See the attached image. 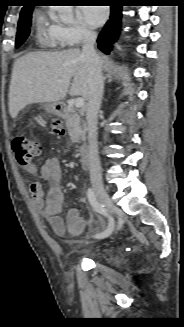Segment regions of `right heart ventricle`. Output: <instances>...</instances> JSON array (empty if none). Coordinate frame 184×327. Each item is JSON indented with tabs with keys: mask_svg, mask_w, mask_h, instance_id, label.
I'll use <instances>...</instances> for the list:
<instances>
[{
	"mask_svg": "<svg viewBox=\"0 0 184 327\" xmlns=\"http://www.w3.org/2000/svg\"><path fill=\"white\" fill-rule=\"evenodd\" d=\"M61 26L49 19L45 14H39L36 18V36L40 44L55 48L62 44L60 41Z\"/></svg>",
	"mask_w": 184,
	"mask_h": 327,
	"instance_id": "e07e8e85",
	"label": "right heart ventricle"
}]
</instances>
